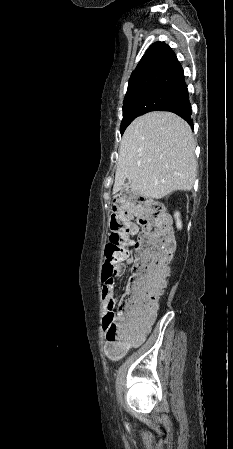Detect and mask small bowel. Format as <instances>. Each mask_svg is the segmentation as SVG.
<instances>
[{
	"instance_id": "1",
	"label": "small bowel",
	"mask_w": 233,
	"mask_h": 449,
	"mask_svg": "<svg viewBox=\"0 0 233 449\" xmlns=\"http://www.w3.org/2000/svg\"><path fill=\"white\" fill-rule=\"evenodd\" d=\"M138 227L134 225L133 234L138 233ZM134 262L132 255H128L127 257L122 258L114 267L112 270L106 272L102 276V287H101V293L102 298L104 300L106 310L109 311L113 308V306L116 303V295L114 292V280L116 276L121 275L126 266L132 265ZM152 323V319H149L139 325L136 338L132 344L126 347L125 351L131 347L138 346L145 338L146 334L150 330V326ZM124 351V352H125Z\"/></svg>"
}]
</instances>
